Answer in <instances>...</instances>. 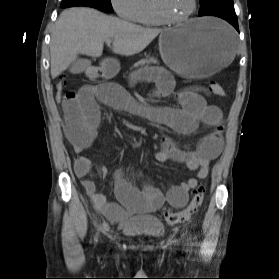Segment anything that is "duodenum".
Returning <instances> with one entry per match:
<instances>
[{"label":"duodenum","mask_w":279,"mask_h":279,"mask_svg":"<svg viewBox=\"0 0 279 279\" xmlns=\"http://www.w3.org/2000/svg\"><path fill=\"white\" fill-rule=\"evenodd\" d=\"M100 72H101L100 68H96L93 70V74H95V75L100 74Z\"/></svg>","instance_id":"410a0bca"}]
</instances>
